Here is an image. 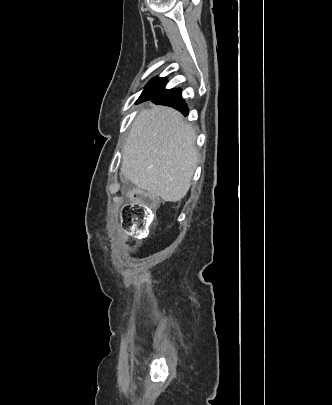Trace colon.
<instances>
[{"label": "colon", "mask_w": 332, "mask_h": 405, "mask_svg": "<svg viewBox=\"0 0 332 405\" xmlns=\"http://www.w3.org/2000/svg\"><path fill=\"white\" fill-rule=\"evenodd\" d=\"M157 202V198L152 194L140 191L133 202L123 205L121 223L125 230L136 235L147 234L156 221L154 208Z\"/></svg>", "instance_id": "colon-1"}]
</instances>
